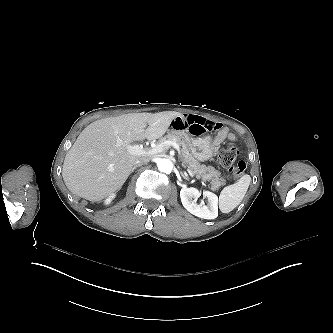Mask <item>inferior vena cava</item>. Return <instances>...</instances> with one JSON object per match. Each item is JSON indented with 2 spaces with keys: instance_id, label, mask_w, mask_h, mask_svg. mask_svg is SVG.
Instances as JSON below:
<instances>
[{
  "instance_id": "1",
  "label": "inferior vena cava",
  "mask_w": 333,
  "mask_h": 333,
  "mask_svg": "<svg viewBox=\"0 0 333 333\" xmlns=\"http://www.w3.org/2000/svg\"><path fill=\"white\" fill-rule=\"evenodd\" d=\"M150 160H151V159H150L149 157H148V158H145V159H143V160H137V161L135 162V166L140 167V166H142L143 164L148 163Z\"/></svg>"
}]
</instances>
